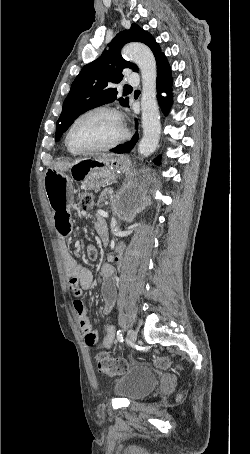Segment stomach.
<instances>
[{"instance_id":"0dacf381","label":"stomach","mask_w":250,"mask_h":454,"mask_svg":"<svg viewBox=\"0 0 250 454\" xmlns=\"http://www.w3.org/2000/svg\"><path fill=\"white\" fill-rule=\"evenodd\" d=\"M127 168V161L115 155L74 162L69 167L57 164L48 169L45 176H76L86 189H95L111 183L117 173ZM45 187V185H44ZM51 204V203H50Z\"/></svg>"}]
</instances>
